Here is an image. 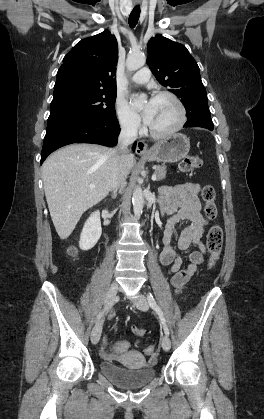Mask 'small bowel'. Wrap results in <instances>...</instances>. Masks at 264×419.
<instances>
[{
    "instance_id": "1",
    "label": "small bowel",
    "mask_w": 264,
    "mask_h": 419,
    "mask_svg": "<svg viewBox=\"0 0 264 419\" xmlns=\"http://www.w3.org/2000/svg\"><path fill=\"white\" fill-rule=\"evenodd\" d=\"M200 189L201 187L197 183L183 182L176 185H164L160 190L163 210L170 215L162 238L163 248L160 253V262L168 268L171 284L177 292L193 277L197 268L205 260L206 248L202 243V236L208 220L201 213ZM182 220L190 222L177 242L178 249L188 258L189 263L186 266H183L184 257L176 252L171 243L173 228ZM131 330L138 338H142L146 333L145 329L136 325H132ZM138 343L139 341L136 342V345ZM129 347L128 342L112 344L105 336L101 345V353L106 360L113 362L132 354L128 351Z\"/></svg>"
}]
</instances>
